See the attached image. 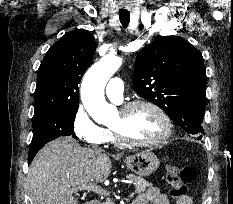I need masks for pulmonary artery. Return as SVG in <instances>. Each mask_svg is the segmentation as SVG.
I'll list each match as a JSON object with an SVG mask.
<instances>
[{
	"label": "pulmonary artery",
	"mask_w": 233,
	"mask_h": 204,
	"mask_svg": "<svg viewBox=\"0 0 233 204\" xmlns=\"http://www.w3.org/2000/svg\"><path fill=\"white\" fill-rule=\"evenodd\" d=\"M106 95L115 102H121L124 93L122 79L115 77L109 80L105 89Z\"/></svg>",
	"instance_id": "e3ab8cb5"
}]
</instances>
